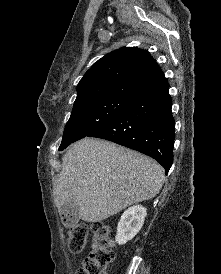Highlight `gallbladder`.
<instances>
[{"mask_svg": "<svg viewBox=\"0 0 221 274\" xmlns=\"http://www.w3.org/2000/svg\"><path fill=\"white\" fill-rule=\"evenodd\" d=\"M67 209L69 211L68 220L77 223L79 221V206L75 202H70L67 204Z\"/></svg>", "mask_w": 221, "mask_h": 274, "instance_id": "1", "label": "gallbladder"}]
</instances>
